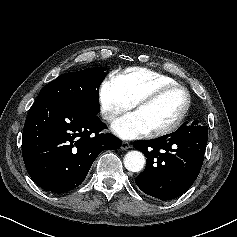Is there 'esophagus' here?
I'll use <instances>...</instances> for the list:
<instances>
[{"mask_svg": "<svg viewBox=\"0 0 237 237\" xmlns=\"http://www.w3.org/2000/svg\"><path fill=\"white\" fill-rule=\"evenodd\" d=\"M131 147L130 143L127 142V141H123L122 144H121V149L122 150H127Z\"/></svg>", "mask_w": 237, "mask_h": 237, "instance_id": "obj_1", "label": "esophagus"}]
</instances>
